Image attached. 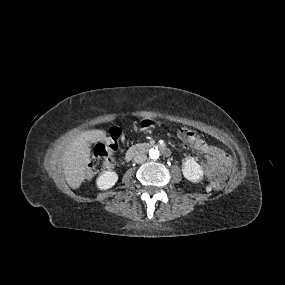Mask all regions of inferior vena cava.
Wrapping results in <instances>:
<instances>
[{
	"label": "inferior vena cava",
	"mask_w": 285,
	"mask_h": 285,
	"mask_svg": "<svg viewBox=\"0 0 285 285\" xmlns=\"http://www.w3.org/2000/svg\"><path fill=\"white\" fill-rule=\"evenodd\" d=\"M146 159H147V155L144 153H139L134 157V161L138 164L144 163Z\"/></svg>",
	"instance_id": "1"
}]
</instances>
